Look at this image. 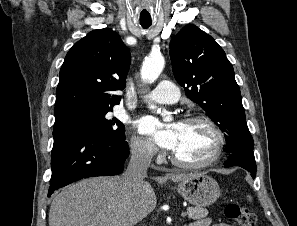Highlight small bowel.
Masks as SVG:
<instances>
[{
	"label": "small bowel",
	"mask_w": 297,
	"mask_h": 226,
	"mask_svg": "<svg viewBox=\"0 0 297 226\" xmlns=\"http://www.w3.org/2000/svg\"><path fill=\"white\" fill-rule=\"evenodd\" d=\"M190 226H231L225 223H219V224H211L210 218H204L200 219L198 221L193 222Z\"/></svg>",
	"instance_id": "c3829d8e"
}]
</instances>
